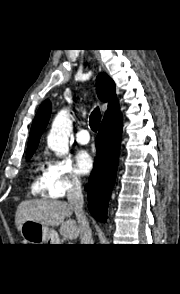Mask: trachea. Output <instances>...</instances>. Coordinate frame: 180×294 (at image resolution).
<instances>
[{"label": "trachea", "instance_id": "3493384b", "mask_svg": "<svg viewBox=\"0 0 180 294\" xmlns=\"http://www.w3.org/2000/svg\"><path fill=\"white\" fill-rule=\"evenodd\" d=\"M101 121V113L99 108H95L90 115L89 125L92 131L96 132Z\"/></svg>", "mask_w": 180, "mask_h": 294}]
</instances>
